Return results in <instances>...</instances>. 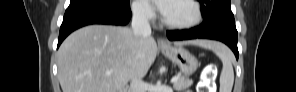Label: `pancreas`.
Segmentation results:
<instances>
[{"instance_id": "cf45deb5", "label": "pancreas", "mask_w": 296, "mask_h": 92, "mask_svg": "<svg viewBox=\"0 0 296 92\" xmlns=\"http://www.w3.org/2000/svg\"><path fill=\"white\" fill-rule=\"evenodd\" d=\"M193 84V80L191 79H188L187 77L185 76H179L178 77V81H176L174 84H173V88L180 92V91H183L187 88H189L191 85Z\"/></svg>"}]
</instances>
